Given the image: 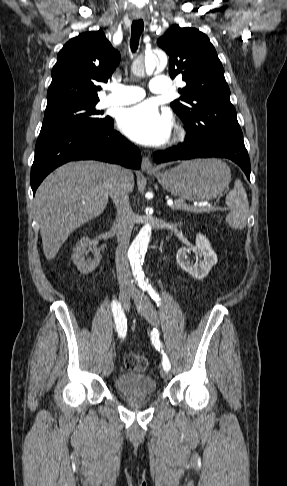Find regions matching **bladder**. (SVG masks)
<instances>
[{
    "instance_id": "obj_1",
    "label": "bladder",
    "mask_w": 287,
    "mask_h": 486,
    "mask_svg": "<svg viewBox=\"0 0 287 486\" xmlns=\"http://www.w3.org/2000/svg\"><path fill=\"white\" fill-rule=\"evenodd\" d=\"M115 389L126 395L149 396L157 385L153 377L142 373H123L114 381Z\"/></svg>"
}]
</instances>
